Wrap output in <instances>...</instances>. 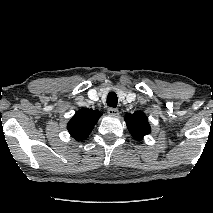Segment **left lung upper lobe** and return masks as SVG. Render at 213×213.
Masks as SVG:
<instances>
[{"mask_svg": "<svg viewBox=\"0 0 213 213\" xmlns=\"http://www.w3.org/2000/svg\"><path fill=\"white\" fill-rule=\"evenodd\" d=\"M125 121L129 132L137 140H141L145 135L151 132L148 119L142 111L126 114Z\"/></svg>", "mask_w": 213, "mask_h": 213, "instance_id": "5c2ea615", "label": "left lung upper lobe"}]
</instances>
